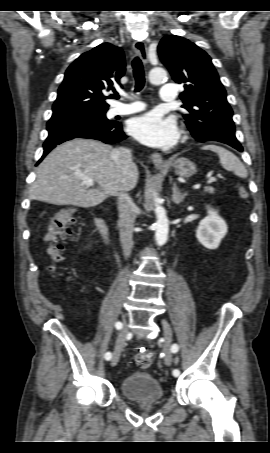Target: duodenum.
Listing matches in <instances>:
<instances>
[{
	"label": "duodenum",
	"mask_w": 270,
	"mask_h": 453,
	"mask_svg": "<svg viewBox=\"0 0 270 453\" xmlns=\"http://www.w3.org/2000/svg\"><path fill=\"white\" fill-rule=\"evenodd\" d=\"M96 227L98 229V232L102 238V240L105 242V243H109L110 242V233H109V229L105 223V221L101 218V217H98L96 219Z\"/></svg>",
	"instance_id": "1"
}]
</instances>
